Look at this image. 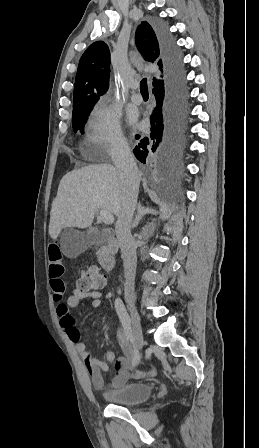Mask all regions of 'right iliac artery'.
<instances>
[{"mask_svg":"<svg viewBox=\"0 0 259 448\" xmlns=\"http://www.w3.org/2000/svg\"><path fill=\"white\" fill-rule=\"evenodd\" d=\"M115 309H116V312H117L119 319L122 323L124 332H125L128 340L133 345L134 356H133L132 366L135 367L140 362V353L134 343L135 341H134L132 328H131V319H130L129 314L127 313V310L120 298H117L115 300Z\"/></svg>","mask_w":259,"mask_h":448,"instance_id":"1","label":"right iliac artery"}]
</instances>
